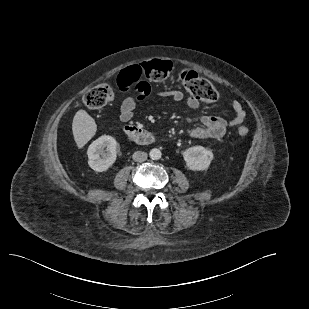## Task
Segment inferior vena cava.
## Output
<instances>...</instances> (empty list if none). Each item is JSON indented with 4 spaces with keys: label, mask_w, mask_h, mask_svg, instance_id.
<instances>
[{
    "label": "inferior vena cava",
    "mask_w": 309,
    "mask_h": 309,
    "mask_svg": "<svg viewBox=\"0 0 309 309\" xmlns=\"http://www.w3.org/2000/svg\"><path fill=\"white\" fill-rule=\"evenodd\" d=\"M147 157V153L143 151H136L132 156L133 160L136 162H144L147 160Z\"/></svg>",
    "instance_id": "obj_1"
}]
</instances>
